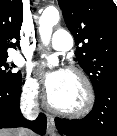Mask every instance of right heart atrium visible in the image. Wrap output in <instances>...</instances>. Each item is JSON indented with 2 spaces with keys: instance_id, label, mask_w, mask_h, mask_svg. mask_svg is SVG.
Returning a JSON list of instances; mask_svg holds the SVG:
<instances>
[{
  "instance_id": "1",
  "label": "right heart atrium",
  "mask_w": 117,
  "mask_h": 136,
  "mask_svg": "<svg viewBox=\"0 0 117 136\" xmlns=\"http://www.w3.org/2000/svg\"><path fill=\"white\" fill-rule=\"evenodd\" d=\"M40 95V84L36 78L27 74L22 87V97L28 103H34Z\"/></svg>"
}]
</instances>
